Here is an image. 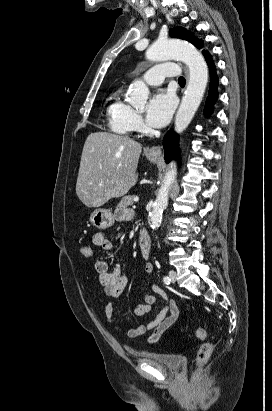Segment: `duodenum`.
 Segmentation results:
<instances>
[{
    "instance_id": "obj_1",
    "label": "duodenum",
    "mask_w": 272,
    "mask_h": 411,
    "mask_svg": "<svg viewBox=\"0 0 272 411\" xmlns=\"http://www.w3.org/2000/svg\"><path fill=\"white\" fill-rule=\"evenodd\" d=\"M139 248L145 258H149L152 249V243L149 233L142 229L139 234Z\"/></svg>"
}]
</instances>
